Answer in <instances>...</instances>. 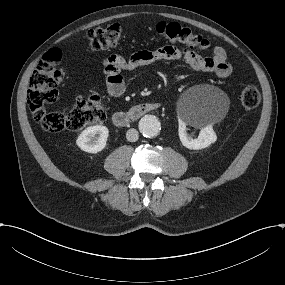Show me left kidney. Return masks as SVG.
Returning <instances> with one entry per match:
<instances>
[{
	"mask_svg": "<svg viewBox=\"0 0 285 285\" xmlns=\"http://www.w3.org/2000/svg\"><path fill=\"white\" fill-rule=\"evenodd\" d=\"M179 139L182 145L191 151L202 150L216 143L218 136L210 124L202 127L198 138L192 139L188 136L186 126L179 128Z\"/></svg>",
	"mask_w": 285,
	"mask_h": 285,
	"instance_id": "5707ae66",
	"label": "left kidney"
}]
</instances>
